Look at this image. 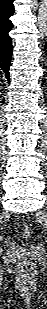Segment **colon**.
<instances>
[{
  "label": "colon",
  "instance_id": "1",
  "mask_svg": "<svg viewBox=\"0 0 47 309\" xmlns=\"http://www.w3.org/2000/svg\"><path fill=\"white\" fill-rule=\"evenodd\" d=\"M22 234L25 237H29L31 234V229L28 226L22 228ZM32 270V264L30 262H23L20 266V271L22 273H28Z\"/></svg>",
  "mask_w": 47,
  "mask_h": 309
}]
</instances>
